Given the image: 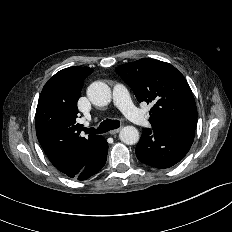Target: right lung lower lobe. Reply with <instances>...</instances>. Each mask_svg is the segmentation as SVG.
I'll use <instances>...</instances> for the list:
<instances>
[{"instance_id": "98d812e1", "label": "right lung lower lobe", "mask_w": 232, "mask_h": 232, "mask_svg": "<svg viewBox=\"0 0 232 232\" xmlns=\"http://www.w3.org/2000/svg\"><path fill=\"white\" fill-rule=\"evenodd\" d=\"M108 143L103 138L102 145L95 155L84 166V168L75 176L78 180H85L99 172L106 163Z\"/></svg>"}]
</instances>
